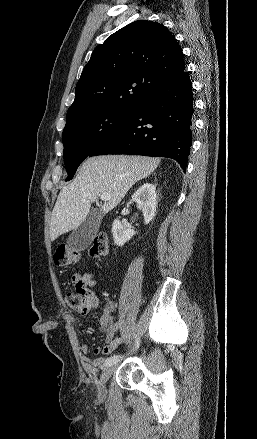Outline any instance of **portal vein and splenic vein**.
Returning <instances> with one entry per match:
<instances>
[{"mask_svg":"<svg viewBox=\"0 0 257 439\" xmlns=\"http://www.w3.org/2000/svg\"><path fill=\"white\" fill-rule=\"evenodd\" d=\"M101 200L108 201L111 199V196L109 194L103 193L100 195Z\"/></svg>","mask_w":257,"mask_h":439,"instance_id":"18ae733b","label":"portal vein and splenic vein"}]
</instances>
